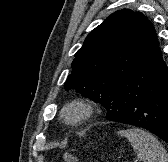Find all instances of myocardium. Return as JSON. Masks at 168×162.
<instances>
[{
  "label": "myocardium",
  "mask_w": 168,
  "mask_h": 162,
  "mask_svg": "<svg viewBox=\"0 0 168 162\" xmlns=\"http://www.w3.org/2000/svg\"><path fill=\"white\" fill-rule=\"evenodd\" d=\"M94 104L86 99H73L61 109V119L69 126H78L94 114Z\"/></svg>",
  "instance_id": "1"
}]
</instances>
